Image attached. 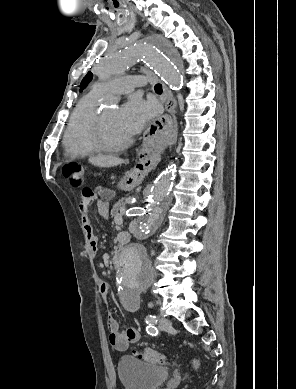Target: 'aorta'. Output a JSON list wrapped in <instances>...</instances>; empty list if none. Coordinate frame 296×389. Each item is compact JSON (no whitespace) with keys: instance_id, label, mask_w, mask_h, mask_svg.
<instances>
[{"instance_id":"1","label":"aorta","mask_w":296,"mask_h":389,"mask_svg":"<svg viewBox=\"0 0 296 389\" xmlns=\"http://www.w3.org/2000/svg\"><path fill=\"white\" fill-rule=\"evenodd\" d=\"M135 62H142L143 66H152L171 88L177 90L181 88L180 58L170 42L163 38L127 44L108 53L98 63L96 74L100 80L107 81L114 76L122 75ZM174 179L173 165L156 178L134 240L121 253L117 283L124 292L139 294L148 289L153 282L155 269L147 254L145 241L164 219L171 201Z\"/></svg>"}]
</instances>
